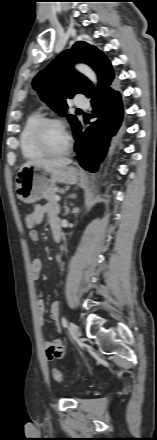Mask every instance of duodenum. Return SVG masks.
<instances>
[{"label": "duodenum", "mask_w": 157, "mask_h": 440, "mask_svg": "<svg viewBox=\"0 0 157 440\" xmlns=\"http://www.w3.org/2000/svg\"><path fill=\"white\" fill-rule=\"evenodd\" d=\"M52 235H53V239L55 242H60L61 240V229L60 226L59 227H54L52 229Z\"/></svg>", "instance_id": "duodenum-1"}]
</instances>
